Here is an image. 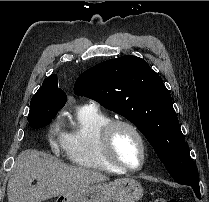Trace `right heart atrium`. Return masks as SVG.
I'll return each instance as SVG.
<instances>
[{
    "instance_id": "obj_1",
    "label": "right heart atrium",
    "mask_w": 209,
    "mask_h": 202,
    "mask_svg": "<svg viewBox=\"0 0 209 202\" xmlns=\"http://www.w3.org/2000/svg\"><path fill=\"white\" fill-rule=\"evenodd\" d=\"M47 138L49 139L54 151L64 147L66 133L63 130L62 122L59 117H55L50 122L47 128Z\"/></svg>"
}]
</instances>
